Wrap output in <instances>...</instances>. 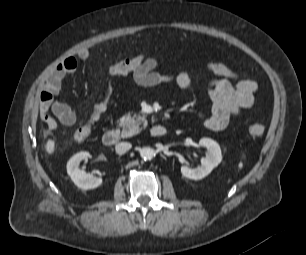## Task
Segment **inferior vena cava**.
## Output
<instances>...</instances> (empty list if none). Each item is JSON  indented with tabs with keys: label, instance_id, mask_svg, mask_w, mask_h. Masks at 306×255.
Here are the masks:
<instances>
[{
	"label": "inferior vena cava",
	"instance_id": "602c4592",
	"mask_svg": "<svg viewBox=\"0 0 306 255\" xmlns=\"http://www.w3.org/2000/svg\"><path fill=\"white\" fill-rule=\"evenodd\" d=\"M131 147H132V145L130 143L121 142V143H118L115 146V150H116L117 154L122 155V154L126 153Z\"/></svg>",
	"mask_w": 306,
	"mask_h": 255
}]
</instances>
